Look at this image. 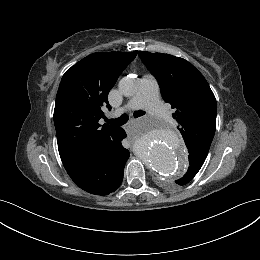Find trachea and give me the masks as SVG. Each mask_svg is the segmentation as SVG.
<instances>
[{"instance_id":"trachea-1","label":"trachea","mask_w":260,"mask_h":260,"mask_svg":"<svg viewBox=\"0 0 260 260\" xmlns=\"http://www.w3.org/2000/svg\"><path fill=\"white\" fill-rule=\"evenodd\" d=\"M145 114L144 111H135L133 113V116L135 118L137 117H140V116H143ZM129 119V116L127 114H122L119 118L117 119H105V121L108 123V124H111L113 126H116V127H119V126H122L124 125Z\"/></svg>"}]
</instances>
